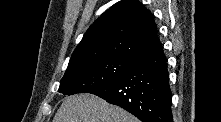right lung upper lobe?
Here are the masks:
<instances>
[{"mask_svg":"<svg viewBox=\"0 0 221 122\" xmlns=\"http://www.w3.org/2000/svg\"><path fill=\"white\" fill-rule=\"evenodd\" d=\"M159 43L151 12L137 0H122L103 13L87 30L68 67L104 56L136 60Z\"/></svg>","mask_w":221,"mask_h":122,"instance_id":"right-lung-upper-lobe-1","label":"right lung upper lobe"}]
</instances>
